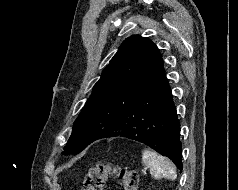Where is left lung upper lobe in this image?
Returning <instances> with one entry per match:
<instances>
[{
	"label": "left lung upper lobe",
	"instance_id": "obj_1",
	"mask_svg": "<svg viewBox=\"0 0 238 190\" xmlns=\"http://www.w3.org/2000/svg\"><path fill=\"white\" fill-rule=\"evenodd\" d=\"M163 70V59L151 40L138 35L127 38L94 85L74 122L64 154H77L108 135Z\"/></svg>",
	"mask_w": 238,
	"mask_h": 190
}]
</instances>
